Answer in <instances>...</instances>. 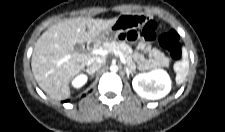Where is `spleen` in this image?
<instances>
[{
	"mask_svg": "<svg viewBox=\"0 0 225 132\" xmlns=\"http://www.w3.org/2000/svg\"><path fill=\"white\" fill-rule=\"evenodd\" d=\"M174 70L176 72V83L180 85L185 81L189 72V59L185 48L182 49V60L174 64Z\"/></svg>",
	"mask_w": 225,
	"mask_h": 132,
	"instance_id": "spleen-1",
	"label": "spleen"
}]
</instances>
